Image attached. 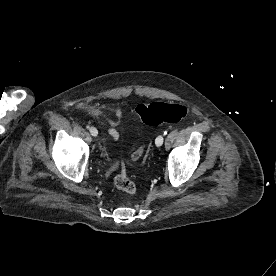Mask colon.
I'll return each mask as SVG.
<instances>
[{
  "label": "colon",
  "instance_id": "colon-1",
  "mask_svg": "<svg viewBox=\"0 0 276 276\" xmlns=\"http://www.w3.org/2000/svg\"><path fill=\"white\" fill-rule=\"evenodd\" d=\"M135 112L143 123L152 126L165 122H179L187 115L188 109L182 104L155 102L150 104H139ZM140 153V151H136L134 156L137 157ZM115 185L119 190L128 195H134L137 190L136 184L123 171L116 175Z\"/></svg>",
  "mask_w": 276,
  "mask_h": 276
}]
</instances>
